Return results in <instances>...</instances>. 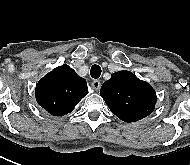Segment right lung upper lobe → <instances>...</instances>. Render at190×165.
Wrapping results in <instances>:
<instances>
[{
  "mask_svg": "<svg viewBox=\"0 0 190 165\" xmlns=\"http://www.w3.org/2000/svg\"><path fill=\"white\" fill-rule=\"evenodd\" d=\"M87 93L86 80L66 64L46 74L36 85L38 104L54 116L72 112Z\"/></svg>",
  "mask_w": 190,
  "mask_h": 165,
  "instance_id": "right-lung-upper-lobe-1",
  "label": "right lung upper lobe"
}]
</instances>
